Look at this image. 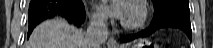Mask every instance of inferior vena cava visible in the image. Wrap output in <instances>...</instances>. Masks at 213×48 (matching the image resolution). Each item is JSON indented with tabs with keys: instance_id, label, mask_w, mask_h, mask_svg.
Segmentation results:
<instances>
[{
	"instance_id": "inferior-vena-cava-1",
	"label": "inferior vena cava",
	"mask_w": 213,
	"mask_h": 48,
	"mask_svg": "<svg viewBox=\"0 0 213 48\" xmlns=\"http://www.w3.org/2000/svg\"><path fill=\"white\" fill-rule=\"evenodd\" d=\"M106 17L103 13H94L85 35V43L88 48H100L107 40L108 30L106 26Z\"/></svg>"
}]
</instances>
